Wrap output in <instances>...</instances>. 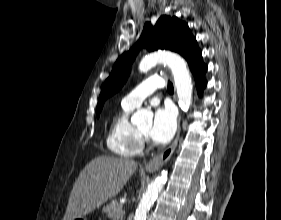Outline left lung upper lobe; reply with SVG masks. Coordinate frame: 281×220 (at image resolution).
I'll list each match as a JSON object with an SVG mask.
<instances>
[{
	"instance_id": "5c2ea615",
	"label": "left lung upper lobe",
	"mask_w": 281,
	"mask_h": 220,
	"mask_svg": "<svg viewBox=\"0 0 281 220\" xmlns=\"http://www.w3.org/2000/svg\"><path fill=\"white\" fill-rule=\"evenodd\" d=\"M141 45L146 46L148 51L166 49L177 52L187 62L201 54L188 25L177 17L161 16L154 27L151 26V23H146L140 41L117 59L111 74L106 79L99 96L96 109L97 117H99L105 99L117 92L125 83L130 66Z\"/></svg>"
}]
</instances>
